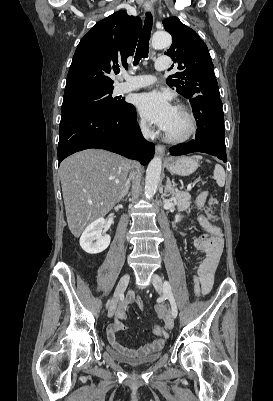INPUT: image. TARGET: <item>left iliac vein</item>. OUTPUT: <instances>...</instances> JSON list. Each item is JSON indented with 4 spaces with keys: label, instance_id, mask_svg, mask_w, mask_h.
<instances>
[{
    "label": "left iliac vein",
    "instance_id": "left-iliac-vein-1",
    "mask_svg": "<svg viewBox=\"0 0 273 401\" xmlns=\"http://www.w3.org/2000/svg\"><path fill=\"white\" fill-rule=\"evenodd\" d=\"M152 283L154 288L158 293H162L163 291V281L162 278L158 274H153ZM165 326L167 329L171 330L174 327V318L170 311L166 313L165 316Z\"/></svg>",
    "mask_w": 273,
    "mask_h": 401
}]
</instances>
